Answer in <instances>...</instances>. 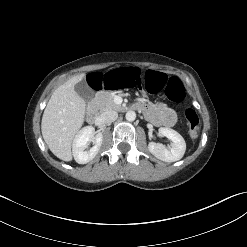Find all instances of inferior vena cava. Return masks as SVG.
<instances>
[{"instance_id": "obj_1", "label": "inferior vena cava", "mask_w": 247, "mask_h": 247, "mask_svg": "<svg viewBox=\"0 0 247 247\" xmlns=\"http://www.w3.org/2000/svg\"><path fill=\"white\" fill-rule=\"evenodd\" d=\"M101 118L105 123H111L118 118V113L114 110H106L101 114Z\"/></svg>"}]
</instances>
